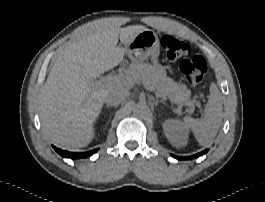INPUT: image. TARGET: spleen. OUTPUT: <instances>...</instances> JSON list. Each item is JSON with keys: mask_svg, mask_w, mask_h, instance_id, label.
I'll return each mask as SVG.
<instances>
[{"mask_svg": "<svg viewBox=\"0 0 265 202\" xmlns=\"http://www.w3.org/2000/svg\"><path fill=\"white\" fill-rule=\"evenodd\" d=\"M204 112V116L200 119L186 116L182 122L185 128L193 132L202 146L209 144L217 135L223 118L222 97L214 83L211 84L210 96Z\"/></svg>", "mask_w": 265, "mask_h": 202, "instance_id": "3e777b00", "label": "spleen"}]
</instances>
